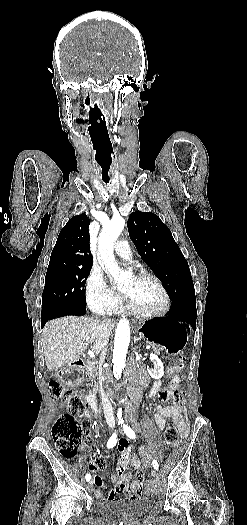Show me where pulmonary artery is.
<instances>
[{
	"mask_svg": "<svg viewBox=\"0 0 247 525\" xmlns=\"http://www.w3.org/2000/svg\"><path fill=\"white\" fill-rule=\"evenodd\" d=\"M114 250L117 255L122 258H128L131 256V244L128 238L121 237L118 239L114 246Z\"/></svg>",
	"mask_w": 247,
	"mask_h": 525,
	"instance_id": "obj_1",
	"label": "pulmonary artery"
}]
</instances>
